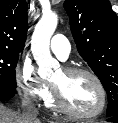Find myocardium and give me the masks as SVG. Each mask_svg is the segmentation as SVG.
Segmentation results:
<instances>
[{"mask_svg":"<svg viewBox=\"0 0 118 123\" xmlns=\"http://www.w3.org/2000/svg\"><path fill=\"white\" fill-rule=\"evenodd\" d=\"M63 71L67 74L74 75V74H85L89 76L93 82L95 83L96 87L98 88L100 94V103L98 108L91 112V113H79L72 108H70L63 100L60 91L57 87L51 84V92L54 104L60 109L63 113L76 118V119H93L100 116L106 108L107 105V91L106 88L101 81V79L95 74L92 70L85 68V67H76V66H66L63 68Z\"/></svg>","mask_w":118,"mask_h":123,"instance_id":"f54148a6","label":"myocardium"}]
</instances>
